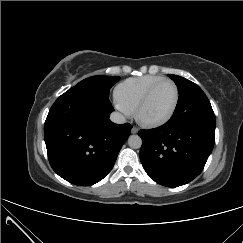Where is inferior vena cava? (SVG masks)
Masks as SVG:
<instances>
[{"mask_svg":"<svg viewBox=\"0 0 243 243\" xmlns=\"http://www.w3.org/2000/svg\"><path fill=\"white\" fill-rule=\"evenodd\" d=\"M110 120L117 124H123L126 122L125 117L119 112H113L110 115Z\"/></svg>","mask_w":243,"mask_h":243,"instance_id":"1","label":"inferior vena cava"}]
</instances>
